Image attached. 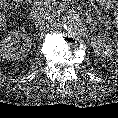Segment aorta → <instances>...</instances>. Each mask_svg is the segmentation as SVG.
<instances>
[{
    "instance_id": "aorta-1",
    "label": "aorta",
    "mask_w": 118,
    "mask_h": 118,
    "mask_svg": "<svg viewBox=\"0 0 118 118\" xmlns=\"http://www.w3.org/2000/svg\"><path fill=\"white\" fill-rule=\"evenodd\" d=\"M61 25L67 32L73 34H77L83 29L81 20L72 16L63 17L61 19Z\"/></svg>"
}]
</instances>
